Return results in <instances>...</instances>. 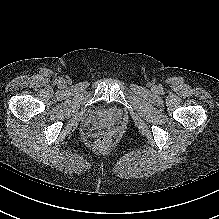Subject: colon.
I'll return each instance as SVG.
<instances>
[{"mask_svg": "<svg viewBox=\"0 0 219 219\" xmlns=\"http://www.w3.org/2000/svg\"><path fill=\"white\" fill-rule=\"evenodd\" d=\"M95 146L97 149H105L109 146V141L106 138L97 139Z\"/></svg>", "mask_w": 219, "mask_h": 219, "instance_id": "obj_1", "label": "colon"}]
</instances>
